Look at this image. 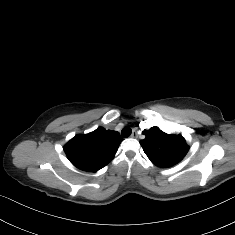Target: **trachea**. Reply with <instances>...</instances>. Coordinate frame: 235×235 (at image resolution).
Segmentation results:
<instances>
[{
  "mask_svg": "<svg viewBox=\"0 0 235 235\" xmlns=\"http://www.w3.org/2000/svg\"><path fill=\"white\" fill-rule=\"evenodd\" d=\"M131 133H132V130H131V128H129V127H125V128H123L122 131H121V135H122V137H124V138L129 137V136L131 135Z\"/></svg>",
  "mask_w": 235,
  "mask_h": 235,
  "instance_id": "obj_1",
  "label": "trachea"
}]
</instances>
